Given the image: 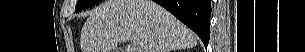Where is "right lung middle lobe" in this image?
Returning <instances> with one entry per match:
<instances>
[{
  "mask_svg": "<svg viewBox=\"0 0 305 52\" xmlns=\"http://www.w3.org/2000/svg\"><path fill=\"white\" fill-rule=\"evenodd\" d=\"M101 0H78L77 5L75 7V11L79 12L82 9L91 7L95 4H97L98 2H100Z\"/></svg>",
  "mask_w": 305,
  "mask_h": 52,
  "instance_id": "dd1d6c3e",
  "label": "right lung middle lobe"
}]
</instances>
